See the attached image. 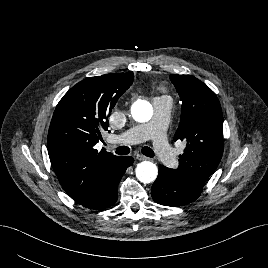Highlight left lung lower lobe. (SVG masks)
<instances>
[{
  "label": "left lung lower lobe",
  "mask_w": 268,
  "mask_h": 268,
  "mask_svg": "<svg viewBox=\"0 0 268 268\" xmlns=\"http://www.w3.org/2000/svg\"><path fill=\"white\" fill-rule=\"evenodd\" d=\"M151 194L158 204L179 207L195 201L201 192L181 183L168 168L160 165Z\"/></svg>",
  "instance_id": "1"
}]
</instances>
